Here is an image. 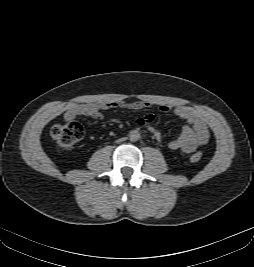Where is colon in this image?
Returning <instances> with one entry per match:
<instances>
[{"mask_svg":"<svg viewBox=\"0 0 254 267\" xmlns=\"http://www.w3.org/2000/svg\"><path fill=\"white\" fill-rule=\"evenodd\" d=\"M50 137L61 151H70L75 144L80 141L84 135V130L81 124L70 122L67 124H56L50 128ZM202 159L201 152H195L190 156L193 163H197Z\"/></svg>","mask_w":254,"mask_h":267,"instance_id":"colon-1","label":"colon"}]
</instances>
